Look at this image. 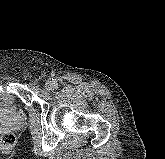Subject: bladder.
I'll return each instance as SVG.
<instances>
[{
	"label": "bladder",
	"mask_w": 165,
	"mask_h": 159,
	"mask_svg": "<svg viewBox=\"0 0 165 159\" xmlns=\"http://www.w3.org/2000/svg\"><path fill=\"white\" fill-rule=\"evenodd\" d=\"M8 96L2 92H0V106H2L7 100Z\"/></svg>",
	"instance_id": "bladder-1"
}]
</instances>
